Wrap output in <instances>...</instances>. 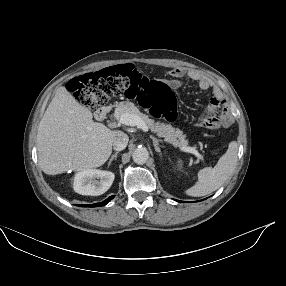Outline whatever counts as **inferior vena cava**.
Returning <instances> with one entry per match:
<instances>
[{
  "instance_id": "inferior-vena-cava-1",
  "label": "inferior vena cava",
  "mask_w": 286,
  "mask_h": 286,
  "mask_svg": "<svg viewBox=\"0 0 286 286\" xmlns=\"http://www.w3.org/2000/svg\"><path fill=\"white\" fill-rule=\"evenodd\" d=\"M128 141H129V137L127 136V134L119 131L114 138V142H113L114 150L121 151L125 149L128 144Z\"/></svg>"
}]
</instances>
